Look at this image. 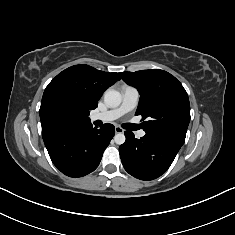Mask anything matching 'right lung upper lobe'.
I'll return each instance as SVG.
<instances>
[{"label":"right lung upper lobe","instance_id":"obj_1","mask_svg":"<svg viewBox=\"0 0 235 235\" xmlns=\"http://www.w3.org/2000/svg\"><path fill=\"white\" fill-rule=\"evenodd\" d=\"M118 80L117 73L99 71L88 65L71 66L59 73L48 84L42 97V133L54 129L46 121V110L51 100L60 99L71 108L70 124L90 122V111L97 107L103 92Z\"/></svg>","mask_w":235,"mask_h":235}]
</instances>
